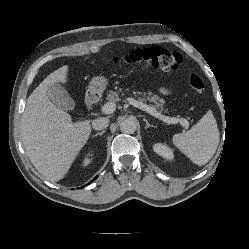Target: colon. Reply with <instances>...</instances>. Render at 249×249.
<instances>
[{
	"mask_svg": "<svg viewBox=\"0 0 249 249\" xmlns=\"http://www.w3.org/2000/svg\"><path fill=\"white\" fill-rule=\"evenodd\" d=\"M113 62L114 64L137 65L161 69L166 72H176L181 65L182 59L177 52L159 46H151L138 48L124 55L114 57ZM187 82L196 91H201L204 87L201 77L193 72L188 74Z\"/></svg>",
	"mask_w": 249,
	"mask_h": 249,
	"instance_id": "1",
	"label": "colon"
}]
</instances>
